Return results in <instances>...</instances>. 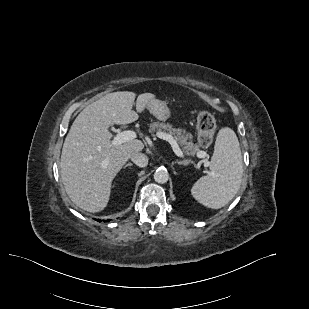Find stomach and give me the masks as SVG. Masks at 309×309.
<instances>
[{
  "label": "stomach",
  "mask_w": 309,
  "mask_h": 309,
  "mask_svg": "<svg viewBox=\"0 0 309 309\" xmlns=\"http://www.w3.org/2000/svg\"><path fill=\"white\" fill-rule=\"evenodd\" d=\"M147 108L150 113L160 121H166L171 117V111L164 101L154 100L147 106Z\"/></svg>",
  "instance_id": "obj_1"
}]
</instances>
